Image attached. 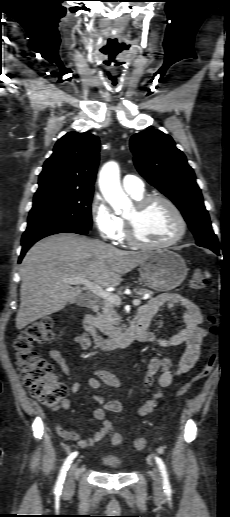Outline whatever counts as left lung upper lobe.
<instances>
[{
	"label": "left lung upper lobe",
	"mask_w": 230,
	"mask_h": 517,
	"mask_svg": "<svg viewBox=\"0 0 230 517\" xmlns=\"http://www.w3.org/2000/svg\"><path fill=\"white\" fill-rule=\"evenodd\" d=\"M130 147L139 173L179 208L196 244L218 247L195 173L173 139L160 130L149 129L133 135Z\"/></svg>",
	"instance_id": "left-lung-upper-lobe-1"
}]
</instances>
